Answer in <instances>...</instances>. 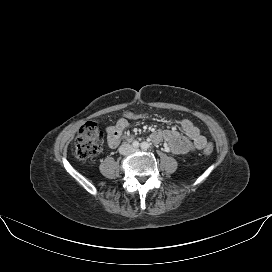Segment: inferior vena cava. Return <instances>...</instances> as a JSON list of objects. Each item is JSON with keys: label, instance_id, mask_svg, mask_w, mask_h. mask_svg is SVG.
Returning a JSON list of instances; mask_svg holds the SVG:
<instances>
[{"label": "inferior vena cava", "instance_id": "inferior-vena-cava-1", "mask_svg": "<svg viewBox=\"0 0 272 272\" xmlns=\"http://www.w3.org/2000/svg\"><path fill=\"white\" fill-rule=\"evenodd\" d=\"M134 151L135 149L130 144H122L119 147V153L122 155H129V154H132Z\"/></svg>", "mask_w": 272, "mask_h": 272}]
</instances>
